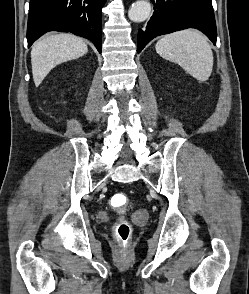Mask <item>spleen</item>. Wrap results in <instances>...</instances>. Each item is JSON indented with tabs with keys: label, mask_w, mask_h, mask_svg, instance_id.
<instances>
[{
	"label": "spleen",
	"mask_w": 249,
	"mask_h": 294,
	"mask_svg": "<svg viewBox=\"0 0 249 294\" xmlns=\"http://www.w3.org/2000/svg\"><path fill=\"white\" fill-rule=\"evenodd\" d=\"M156 52L169 61L179 64L198 81L208 80L213 69V53L208 39L200 31L186 29L161 38Z\"/></svg>",
	"instance_id": "1"
}]
</instances>
